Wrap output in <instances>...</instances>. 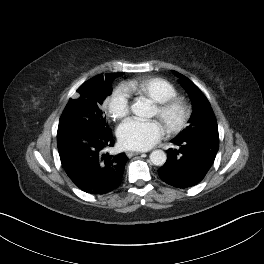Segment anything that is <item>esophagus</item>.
I'll list each match as a JSON object with an SVG mask.
<instances>
[{
	"instance_id": "34e87169",
	"label": "esophagus",
	"mask_w": 264,
	"mask_h": 264,
	"mask_svg": "<svg viewBox=\"0 0 264 264\" xmlns=\"http://www.w3.org/2000/svg\"><path fill=\"white\" fill-rule=\"evenodd\" d=\"M141 153L142 152H139V151H128V152H126V155H127V157L131 158V157L139 155Z\"/></svg>"
}]
</instances>
